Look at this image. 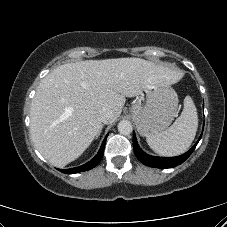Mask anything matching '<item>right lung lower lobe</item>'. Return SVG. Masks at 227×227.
<instances>
[{
    "mask_svg": "<svg viewBox=\"0 0 227 227\" xmlns=\"http://www.w3.org/2000/svg\"><path fill=\"white\" fill-rule=\"evenodd\" d=\"M107 136L108 135H106L105 139L103 140L99 152L97 153V155L92 160H90L86 164L79 166V167L70 168V169H59V170L63 173H66V174H74V173L87 171V170L94 168L100 162V160L103 156Z\"/></svg>",
    "mask_w": 227,
    "mask_h": 227,
    "instance_id": "1",
    "label": "right lung lower lobe"
}]
</instances>
